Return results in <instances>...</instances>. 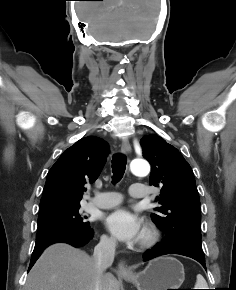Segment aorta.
Here are the masks:
<instances>
[{"label":"aorta","instance_id":"aorta-1","mask_svg":"<svg viewBox=\"0 0 236 290\" xmlns=\"http://www.w3.org/2000/svg\"><path fill=\"white\" fill-rule=\"evenodd\" d=\"M131 172L136 176H146L150 172V166L145 160L136 159L130 164Z\"/></svg>","mask_w":236,"mask_h":290}]
</instances>
